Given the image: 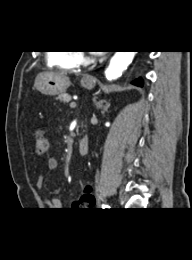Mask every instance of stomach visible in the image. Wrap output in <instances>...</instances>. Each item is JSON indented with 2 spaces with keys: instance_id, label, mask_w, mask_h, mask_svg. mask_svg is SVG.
Returning <instances> with one entry per match:
<instances>
[{
  "instance_id": "1",
  "label": "stomach",
  "mask_w": 192,
  "mask_h": 260,
  "mask_svg": "<svg viewBox=\"0 0 192 260\" xmlns=\"http://www.w3.org/2000/svg\"><path fill=\"white\" fill-rule=\"evenodd\" d=\"M71 85L69 78L63 73L45 72L39 74L35 79V88L47 96H56L65 93ZM81 85L86 89H93L95 80H81Z\"/></svg>"
}]
</instances>
